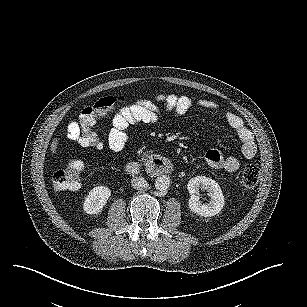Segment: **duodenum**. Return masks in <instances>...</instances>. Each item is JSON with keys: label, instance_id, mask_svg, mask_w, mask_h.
<instances>
[{"label": "duodenum", "instance_id": "1", "mask_svg": "<svg viewBox=\"0 0 307 307\" xmlns=\"http://www.w3.org/2000/svg\"><path fill=\"white\" fill-rule=\"evenodd\" d=\"M173 165L167 159L160 156H151L144 161H129L125 165V171L131 176H137L145 173L148 176L156 177L170 173Z\"/></svg>", "mask_w": 307, "mask_h": 307}]
</instances>
